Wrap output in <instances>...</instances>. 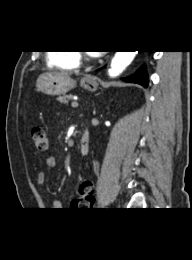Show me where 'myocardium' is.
<instances>
[{
	"mask_svg": "<svg viewBox=\"0 0 192 260\" xmlns=\"http://www.w3.org/2000/svg\"><path fill=\"white\" fill-rule=\"evenodd\" d=\"M78 54L81 55V56H83V57H84L85 59H87V60H89V59L92 58V55L87 54V53H85V52H79Z\"/></svg>",
	"mask_w": 192,
	"mask_h": 260,
	"instance_id": "obj_1",
	"label": "myocardium"
}]
</instances>
